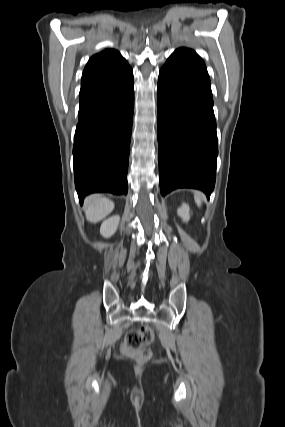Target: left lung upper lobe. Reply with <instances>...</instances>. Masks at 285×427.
Wrapping results in <instances>:
<instances>
[{
    "label": "left lung upper lobe",
    "instance_id": "left-lung-upper-lobe-1",
    "mask_svg": "<svg viewBox=\"0 0 285 427\" xmlns=\"http://www.w3.org/2000/svg\"><path fill=\"white\" fill-rule=\"evenodd\" d=\"M176 51H183V52H189V53H192L199 61H201L203 64H204V62H203V60L193 51V50H191V49H187V48H179V49H177Z\"/></svg>",
    "mask_w": 285,
    "mask_h": 427
}]
</instances>
